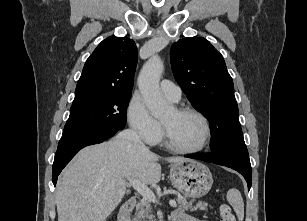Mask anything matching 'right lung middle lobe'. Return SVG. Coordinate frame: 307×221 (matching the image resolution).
Segmentation results:
<instances>
[{
  "label": "right lung middle lobe",
  "mask_w": 307,
  "mask_h": 221,
  "mask_svg": "<svg viewBox=\"0 0 307 221\" xmlns=\"http://www.w3.org/2000/svg\"><path fill=\"white\" fill-rule=\"evenodd\" d=\"M130 98L131 93H111L73 102L58 147L123 129Z\"/></svg>",
  "instance_id": "dd1d6c3e"
}]
</instances>
